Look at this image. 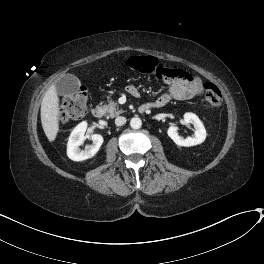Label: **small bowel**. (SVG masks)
<instances>
[{
    "label": "small bowel",
    "mask_w": 264,
    "mask_h": 264,
    "mask_svg": "<svg viewBox=\"0 0 264 264\" xmlns=\"http://www.w3.org/2000/svg\"><path fill=\"white\" fill-rule=\"evenodd\" d=\"M164 82L169 86L168 92L158 98L144 102L150 108H160L165 106L171 99L191 98L201 94V81L182 69H172V75L164 79ZM136 89L134 86L127 88L129 94L133 95ZM137 90V89H136ZM136 97V96H134Z\"/></svg>",
    "instance_id": "c3829d8e"
}]
</instances>
